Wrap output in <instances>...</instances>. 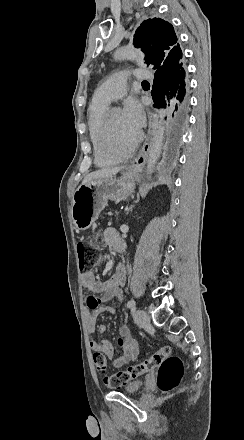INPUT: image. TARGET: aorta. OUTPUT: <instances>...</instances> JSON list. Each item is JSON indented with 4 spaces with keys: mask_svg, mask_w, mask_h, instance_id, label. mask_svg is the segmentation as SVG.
Returning a JSON list of instances; mask_svg holds the SVG:
<instances>
[{
    "mask_svg": "<svg viewBox=\"0 0 244 440\" xmlns=\"http://www.w3.org/2000/svg\"><path fill=\"white\" fill-rule=\"evenodd\" d=\"M116 56L121 59H141L143 54L141 51L134 48L121 49L117 51ZM165 125L159 122L157 129L151 139L149 147V157L147 161V174L150 175L155 167L163 146Z\"/></svg>",
    "mask_w": 244,
    "mask_h": 440,
    "instance_id": "aorta-1",
    "label": "aorta"
}]
</instances>
